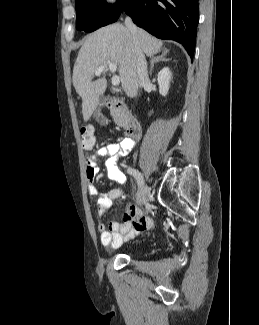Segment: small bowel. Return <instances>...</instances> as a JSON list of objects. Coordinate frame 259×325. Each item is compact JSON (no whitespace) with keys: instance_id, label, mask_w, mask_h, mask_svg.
Wrapping results in <instances>:
<instances>
[{"instance_id":"small-bowel-1","label":"small bowel","mask_w":259,"mask_h":325,"mask_svg":"<svg viewBox=\"0 0 259 325\" xmlns=\"http://www.w3.org/2000/svg\"><path fill=\"white\" fill-rule=\"evenodd\" d=\"M136 145V139L123 138L120 142L110 143L99 148L86 159V177L88 180V192L91 196H97L99 214L108 210L114 201L124 200L126 195L123 189L113 188L106 193L99 192L95 179L99 173L98 158L105 157V168L108 179L120 186L126 182V176L117 165L118 158L131 151ZM152 221L134 205H128L122 215L121 221H113L109 229L105 224L98 223L101 244L108 249H116L124 242L134 238L138 233L150 227Z\"/></svg>"}]
</instances>
